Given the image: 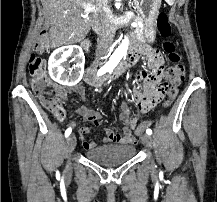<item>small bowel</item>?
I'll return each instance as SVG.
<instances>
[{"label": "small bowel", "instance_id": "c3829d8e", "mask_svg": "<svg viewBox=\"0 0 217 202\" xmlns=\"http://www.w3.org/2000/svg\"><path fill=\"white\" fill-rule=\"evenodd\" d=\"M138 47H140L139 54L145 56L148 59L149 66L153 69L150 74H147L145 71H140L136 75V80L143 82L147 94L146 95H163L162 90L155 88V84L157 81V71L162 65V58L158 51L150 48L148 45L138 43ZM73 91L78 93L81 97H84L85 90L82 85H77L73 88ZM59 95H64V102L66 100V96L63 89H59ZM134 100L138 106V109L141 112H146L149 108L146 106H150V101H141V97L137 91L133 92ZM79 116H81L85 121L92 122L95 125L100 124V119L102 114L100 111L95 110L87 105H82L78 107L75 111ZM131 107L130 103L124 101L120 105V120L123 123L122 131L120 133L115 132L111 128H105V137L103 139L104 143L107 144H116V145H134L137 142V135L142 134L144 131H135V134L132 131V126H147L146 122L138 125L136 118H130ZM67 116V112L64 109H61L60 114L56 117V120L63 121ZM75 123L71 124V127H74ZM89 129L87 127H83L80 129L81 138L83 136H88ZM83 146L86 149H91L95 147V142H83Z\"/></svg>", "mask_w": 217, "mask_h": 202}]
</instances>
